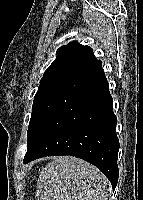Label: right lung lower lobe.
Returning a JSON list of instances; mask_svg holds the SVG:
<instances>
[{"mask_svg":"<svg viewBox=\"0 0 143 200\" xmlns=\"http://www.w3.org/2000/svg\"><path fill=\"white\" fill-rule=\"evenodd\" d=\"M116 124L109 84L101 61H96L66 77L42 102L28 127L23 163L45 156H75L98 167L114 190Z\"/></svg>","mask_w":143,"mask_h":200,"instance_id":"obj_1","label":"right lung lower lobe"}]
</instances>
